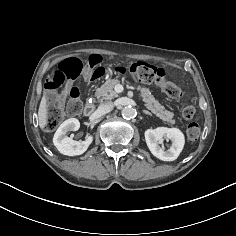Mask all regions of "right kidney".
Instances as JSON below:
<instances>
[{"instance_id": "ca27d5eb", "label": "right kidney", "mask_w": 236, "mask_h": 236, "mask_svg": "<svg viewBox=\"0 0 236 236\" xmlns=\"http://www.w3.org/2000/svg\"><path fill=\"white\" fill-rule=\"evenodd\" d=\"M80 122L76 118L64 121L54 134L53 143L58 151L63 155L76 156L83 154L93 141V136L87 137L84 141H75L66 134L69 131H77Z\"/></svg>"}]
</instances>
